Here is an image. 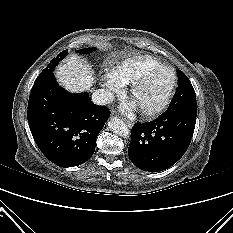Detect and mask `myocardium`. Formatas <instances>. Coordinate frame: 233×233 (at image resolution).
I'll return each instance as SVG.
<instances>
[{
	"instance_id": "1",
	"label": "myocardium",
	"mask_w": 233,
	"mask_h": 233,
	"mask_svg": "<svg viewBox=\"0 0 233 233\" xmlns=\"http://www.w3.org/2000/svg\"><path fill=\"white\" fill-rule=\"evenodd\" d=\"M156 72H164L170 75L171 77V83L165 93V95L162 97V99L157 102L156 104L149 106V107H138L139 111L144 116H154L156 114H159L162 112L166 106L169 104L175 87L177 83V78L172 69L166 66H160L156 68H151L144 72L140 77H138L132 84L130 89V95L133 100H135L137 93L139 89L147 82V80Z\"/></svg>"
}]
</instances>
